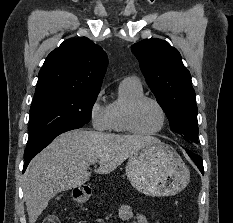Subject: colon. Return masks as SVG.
Here are the masks:
<instances>
[{
  "mask_svg": "<svg viewBox=\"0 0 233 223\" xmlns=\"http://www.w3.org/2000/svg\"><path fill=\"white\" fill-rule=\"evenodd\" d=\"M43 223H60V220L56 214L51 213L43 220Z\"/></svg>",
  "mask_w": 233,
  "mask_h": 223,
  "instance_id": "1",
  "label": "colon"
}]
</instances>
